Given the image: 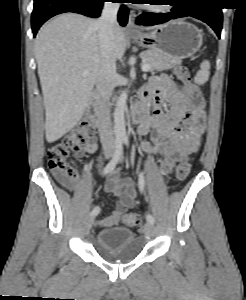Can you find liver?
<instances>
[{
	"instance_id": "1",
	"label": "liver",
	"mask_w": 246,
	"mask_h": 300,
	"mask_svg": "<svg viewBox=\"0 0 246 300\" xmlns=\"http://www.w3.org/2000/svg\"><path fill=\"white\" fill-rule=\"evenodd\" d=\"M113 32L112 56L121 60L126 49L125 33L118 24ZM35 58L44 99L46 140L52 143L82 118L102 67L95 21L76 13L57 16L38 32ZM84 71L89 74L83 76Z\"/></svg>"
}]
</instances>
